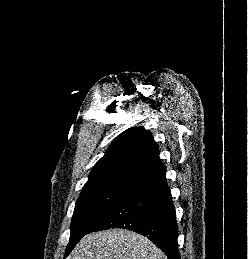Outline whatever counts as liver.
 Instances as JSON below:
<instances>
[{
  "mask_svg": "<svg viewBox=\"0 0 248 259\" xmlns=\"http://www.w3.org/2000/svg\"><path fill=\"white\" fill-rule=\"evenodd\" d=\"M70 259H167L146 237L125 229H111L84 236Z\"/></svg>",
  "mask_w": 248,
  "mask_h": 259,
  "instance_id": "liver-1",
  "label": "liver"
}]
</instances>
